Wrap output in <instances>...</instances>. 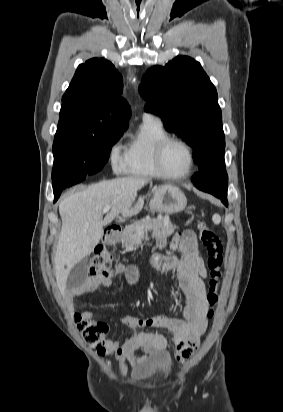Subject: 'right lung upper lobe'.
Returning a JSON list of instances; mask_svg holds the SVG:
<instances>
[{"label":"right lung upper lobe","mask_w":283,"mask_h":412,"mask_svg":"<svg viewBox=\"0 0 283 412\" xmlns=\"http://www.w3.org/2000/svg\"><path fill=\"white\" fill-rule=\"evenodd\" d=\"M122 89V76L111 62L90 59L78 66L62 98L59 120H77L96 133L124 132L131 111Z\"/></svg>","instance_id":"obj_1"}]
</instances>
